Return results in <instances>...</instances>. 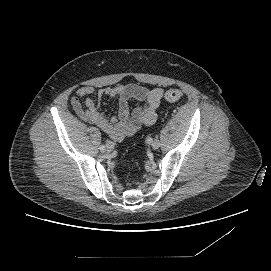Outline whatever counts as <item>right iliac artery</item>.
Here are the masks:
<instances>
[{"instance_id": "1", "label": "right iliac artery", "mask_w": 271, "mask_h": 271, "mask_svg": "<svg viewBox=\"0 0 271 271\" xmlns=\"http://www.w3.org/2000/svg\"><path fill=\"white\" fill-rule=\"evenodd\" d=\"M99 149H100V151H105V145H101L100 147H99Z\"/></svg>"}]
</instances>
